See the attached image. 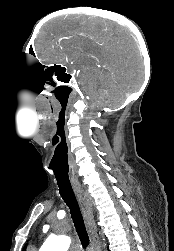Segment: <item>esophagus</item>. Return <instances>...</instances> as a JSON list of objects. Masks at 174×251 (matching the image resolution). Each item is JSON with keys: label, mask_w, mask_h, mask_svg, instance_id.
I'll list each match as a JSON object with an SVG mask.
<instances>
[{"label": "esophagus", "mask_w": 174, "mask_h": 251, "mask_svg": "<svg viewBox=\"0 0 174 251\" xmlns=\"http://www.w3.org/2000/svg\"><path fill=\"white\" fill-rule=\"evenodd\" d=\"M72 188L80 204L89 233L91 234L93 239H95L96 231H95L94 220H93V215H92V210H91V204L88 199V196L83 190V188L81 187L79 182L72 183ZM98 251H101L99 249V246H98Z\"/></svg>", "instance_id": "esophagus-1"}]
</instances>
